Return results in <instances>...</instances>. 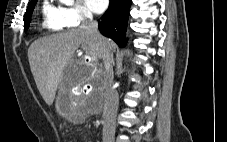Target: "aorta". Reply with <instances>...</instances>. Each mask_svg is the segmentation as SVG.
I'll use <instances>...</instances> for the list:
<instances>
[{
  "label": "aorta",
  "mask_w": 227,
  "mask_h": 142,
  "mask_svg": "<svg viewBox=\"0 0 227 142\" xmlns=\"http://www.w3.org/2000/svg\"><path fill=\"white\" fill-rule=\"evenodd\" d=\"M64 2H66L67 4H72L74 2V0H63Z\"/></svg>",
  "instance_id": "762f6f07"
}]
</instances>
